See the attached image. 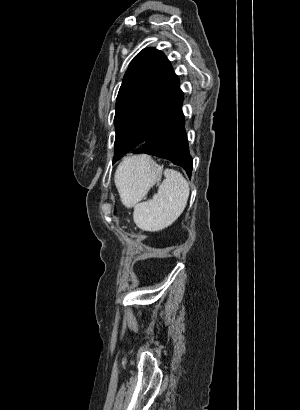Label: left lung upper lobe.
Wrapping results in <instances>:
<instances>
[{"instance_id":"1","label":"left lung upper lobe","mask_w":300,"mask_h":410,"mask_svg":"<svg viewBox=\"0 0 300 410\" xmlns=\"http://www.w3.org/2000/svg\"><path fill=\"white\" fill-rule=\"evenodd\" d=\"M183 100V92L163 52L146 48L131 61L116 100L113 163L140 148Z\"/></svg>"}]
</instances>
